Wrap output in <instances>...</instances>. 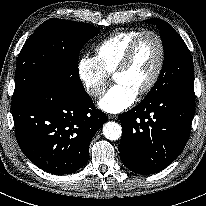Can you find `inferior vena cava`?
Wrapping results in <instances>:
<instances>
[{
  "instance_id": "inferior-vena-cava-1",
  "label": "inferior vena cava",
  "mask_w": 206,
  "mask_h": 206,
  "mask_svg": "<svg viewBox=\"0 0 206 206\" xmlns=\"http://www.w3.org/2000/svg\"><path fill=\"white\" fill-rule=\"evenodd\" d=\"M102 93H103L102 91L96 90V89L91 92V94L94 95V96L101 95Z\"/></svg>"
}]
</instances>
